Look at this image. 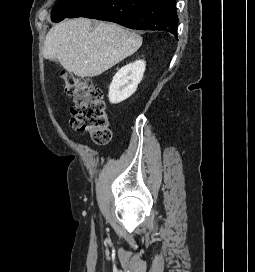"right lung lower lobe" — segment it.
I'll return each mask as SVG.
<instances>
[{
	"label": "right lung lower lobe",
	"instance_id": "98d812e1",
	"mask_svg": "<svg viewBox=\"0 0 255 272\" xmlns=\"http://www.w3.org/2000/svg\"><path fill=\"white\" fill-rule=\"evenodd\" d=\"M176 0H90L68 18L87 17L131 29L164 30L177 35Z\"/></svg>",
	"mask_w": 255,
	"mask_h": 272
}]
</instances>
